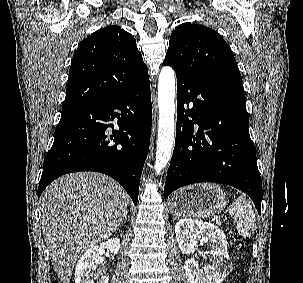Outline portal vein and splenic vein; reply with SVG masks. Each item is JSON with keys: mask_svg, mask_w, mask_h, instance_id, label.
Listing matches in <instances>:
<instances>
[{"mask_svg": "<svg viewBox=\"0 0 303 283\" xmlns=\"http://www.w3.org/2000/svg\"><path fill=\"white\" fill-rule=\"evenodd\" d=\"M213 221H215L217 224H221V220H220L219 218H217V217H215V218L213 219Z\"/></svg>", "mask_w": 303, "mask_h": 283, "instance_id": "1", "label": "portal vein and splenic vein"}]
</instances>
